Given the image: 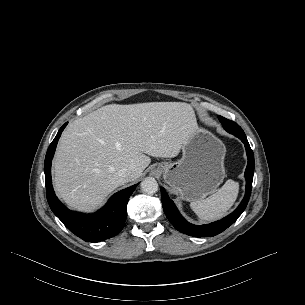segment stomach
<instances>
[{
    "mask_svg": "<svg viewBox=\"0 0 305 305\" xmlns=\"http://www.w3.org/2000/svg\"><path fill=\"white\" fill-rule=\"evenodd\" d=\"M225 145L212 133L198 128L183 144L182 158L162 162L157 170L171 190L186 201L213 193L225 178Z\"/></svg>",
    "mask_w": 305,
    "mask_h": 305,
    "instance_id": "stomach-1",
    "label": "stomach"
}]
</instances>
